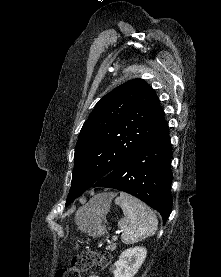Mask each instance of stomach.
I'll return each mask as SVG.
<instances>
[{
	"mask_svg": "<svg viewBox=\"0 0 221 277\" xmlns=\"http://www.w3.org/2000/svg\"><path fill=\"white\" fill-rule=\"evenodd\" d=\"M110 203L94 198L76 214V223L82 232L92 237L103 236L106 232L104 224Z\"/></svg>",
	"mask_w": 221,
	"mask_h": 277,
	"instance_id": "stomach-1",
	"label": "stomach"
}]
</instances>
